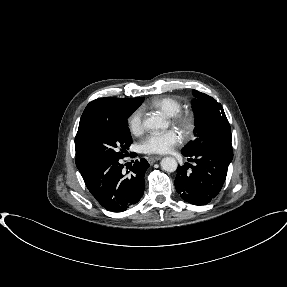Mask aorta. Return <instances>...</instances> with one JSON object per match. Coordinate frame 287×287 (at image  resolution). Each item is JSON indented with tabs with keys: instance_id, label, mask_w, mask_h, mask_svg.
<instances>
[{
	"instance_id": "aorta-1",
	"label": "aorta",
	"mask_w": 287,
	"mask_h": 287,
	"mask_svg": "<svg viewBox=\"0 0 287 287\" xmlns=\"http://www.w3.org/2000/svg\"><path fill=\"white\" fill-rule=\"evenodd\" d=\"M143 125L146 129L149 130H158L163 128L165 123L163 119L158 115H152L146 118L143 122ZM161 168L166 172H174L177 169V161L173 157H165L160 162Z\"/></svg>"
}]
</instances>
